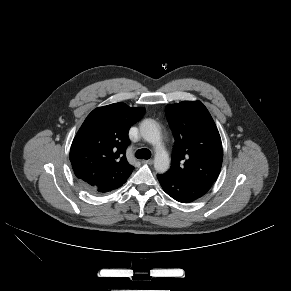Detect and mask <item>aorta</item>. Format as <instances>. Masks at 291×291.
I'll list each match as a JSON object with an SVG mask.
<instances>
[{
  "mask_svg": "<svg viewBox=\"0 0 291 291\" xmlns=\"http://www.w3.org/2000/svg\"><path fill=\"white\" fill-rule=\"evenodd\" d=\"M140 133L144 140L155 146V170L158 173L166 172L170 166V159L162 145L161 135L156 121L153 119H144L140 124Z\"/></svg>",
  "mask_w": 291,
  "mask_h": 291,
  "instance_id": "762f6f07",
  "label": "aorta"
}]
</instances>
